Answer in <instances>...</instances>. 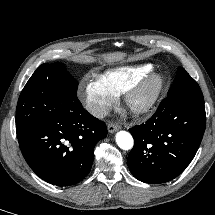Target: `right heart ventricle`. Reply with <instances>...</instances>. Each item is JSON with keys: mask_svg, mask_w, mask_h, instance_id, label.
I'll return each mask as SVG.
<instances>
[{"mask_svg": "<svg viewBox=\"0 0 215 215\" xmlns=\"http://www.w3.org/2000/svg\"><path fill=\"white\" fill-rule=\"evenodd\" d=\"M152 70V65L115 67L104 71L97 77L116 96L122 94L130 85Z\"/></svg>", "mask_w": 215, "mask_h": 215, "instance_id": "obj_1", "label": "right heart ventricle"}]
</instances>
